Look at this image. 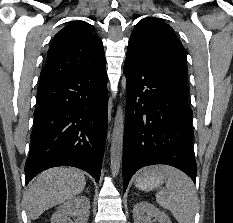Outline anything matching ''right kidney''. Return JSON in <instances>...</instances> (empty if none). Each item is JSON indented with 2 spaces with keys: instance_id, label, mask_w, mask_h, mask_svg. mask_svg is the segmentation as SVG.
Returning a JSON list of instances; mask_svg holds the SVG:
<instances>
[{
  "instance_id": "obj_1",
  "label": "right kidney",
  "mask_w": 233,
  "mask_h": 223,
  "mask_svg": "<svg viewBox=\"0 0 233 223\" xmlns=\"http://www.w3.org/2000/svg\"><path fill=\"white\" fill-rule=\"evenodd\" d=\"M90 201L86 195H77L59 205L51 217V223H87L89 219ZM70 217H76L74 221Z\"/></svg>"
}]
</instances>
